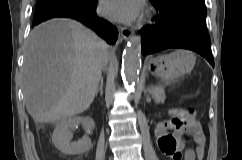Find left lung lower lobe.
Wrapping results in <instances>:
<instances>
[{"instance_id":"left-lung-lower-lobe-1","label":"left lung lower lobe","mask_w":242,"mask_h":160,"mask_svg":"<svg viewBox=\"0 0 242 160\" xmlns=\"http://www.w3.org/2000/svg\"><path fill=\"white\" fill-rule=\"evenodd\" d=\"M140 33L144 55L167 48H184L197 52L214 67L206 17L174 18L159 12L153 24L144 26Z\"/></svg>"}]
</instances>
